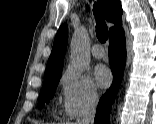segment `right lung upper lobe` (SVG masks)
<instances>
[{
    "instance_id": "cb5924a9",
    "label": "right lung upper lobe",
    "mask_w": 156,
    "mask_h": 124,
    "mask_svg": "<svg viewBox=\"0 0 156 124\" xmlns=\"http://www.w3.org/2000/svg\"><path fill=\"white\" fill-rule=\"evenodd\" d=\"M104 17L107 21L116 24L110 28V36L116 31L122 29L121 18H122V7L119 0H98ZM67 25L63 24L54 39L51 55L49 57L45 77L54 76L59 74L63 67V60L65 56V50L67 46Z\"/></svg>"
}]
</instances>
